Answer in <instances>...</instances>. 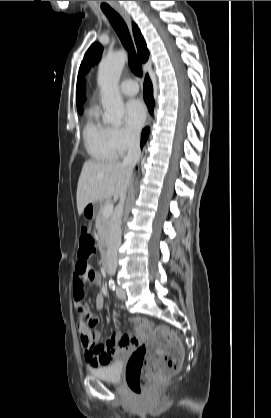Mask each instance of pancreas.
Instances as JSON below:
<instances>
[{
    "label": "pancreas",
    "mask_w": 271,
    "mask_h": 418,
    "mask_svg": "<svg viewBox=\"0 0 271 418\" xmlns=\"http://www.w3.org/2000/svg\"><path fill=\"white\" fill-rule=\"evenodd\" d=\"M105 204H102L99 208V211L96 215V228L98 233L99 246L103 248L108 242L110 227H111V218L105 217L103 215V209Z\"/></svg>",
    "instance_id": "1"
}]
</instances>
